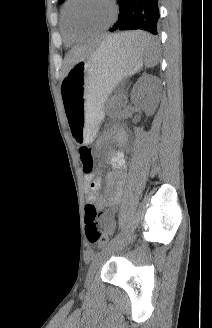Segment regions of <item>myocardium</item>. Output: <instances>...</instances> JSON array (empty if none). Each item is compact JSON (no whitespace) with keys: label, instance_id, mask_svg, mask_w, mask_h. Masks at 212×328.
I'll return each mask as SVG.
<instances>
[{"label":"myocardium","instance_id":"myocardium-1","mask_svg":"<svg viewBox=\"0 0 212 328\" xmlns=\"http://www.w3.org/2000/svg\"><path fill=\"white\" fill-rule=\"evenodd\" d=\"M75 2V0H67L66 4H65V7H64V19H65V23H66V26H67V29L68 31L71 33V34H74L76 31H79L77 29H75L72 24H71V21H70V18H69V9L71 7V5ZM108 2L110 3L111 5V8H112V16H111V20L108 24L102 26V27H99V28H95V29H89V30H80L81 33H83L84 35H91V34H97V33H101L107 29L110 28V26L112 25V23L115 21L116 17H117V14H118V6H117V3H116V0H108Z\"/></svg>","mask_w":212,"mask_h":328}]
</instances>
